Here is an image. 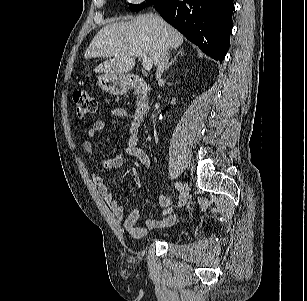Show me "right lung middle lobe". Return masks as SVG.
I'll return each mask as SVG.
<instances>
[{
  "label": "right lung middle lobe",
  "instance_id": "right-lung-middle-lobe-1",
  "mask_svg": "<svg viewBox=\"0 0 307 301\" xmlns=\"http://www.w3.org/2000/svg\"><path fill=\"white\" fill-rule=\"evenodd\" d=\"M157 1H159V0H148L146 3H144V4H139V5L130 4V9H131L132 11H139V10L143 9L144 7H146V6H148V5H151V4L156 3Z\"/></svg>",
  "mask_w": 307,
  "mask_h": 301
}]
</instances>
